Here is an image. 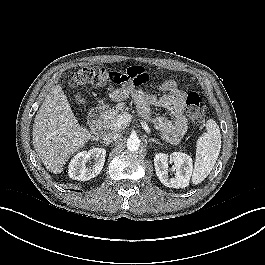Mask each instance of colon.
Segmentation results:
<instances>
[{"label":"colon","mask_w":265,"mask_h":265,"mask_svg":"<svg viewBox=\"0 0 265 265\" xmlns=\"http://www.w3.org/2000/svg\"><path fill=\"white\" fill-rule=\"evenodd\" d=\"M148 78V77H147ZM132 82L142 85L146 82L141 73L136 68H130L125 73L114 72L103 67H84L71 75L70 85L73 88L94 85L104 87H114ZM186 115L193 124H199L203 120V109L200 96L196 92H190L186 98Z\"/></svg>","instance_id":"1"}]
</instances>
